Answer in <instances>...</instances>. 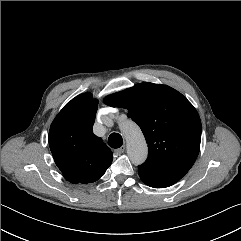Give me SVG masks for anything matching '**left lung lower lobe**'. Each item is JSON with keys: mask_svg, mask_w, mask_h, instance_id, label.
<instances>
[{"mask_svg": "<svg viewBox=\"0 0 241 241\" xmlns=\"http://www.w3.org/2000/svg\"><path fill=\"white\" fill-rule=\"evenodd\" d=\"M138 173H139L141 180L150 187L165 188V187H169L170 185H173V184L165 182L161 179H157L155 177L144 174L143 172L138 171Z\"/></svg>", "mask_w": 241, "mask_h": 241, "instance_id": "0a47b994", "label": "left lung lower lobe"}]
</instances>
